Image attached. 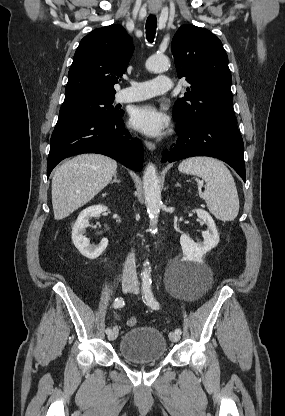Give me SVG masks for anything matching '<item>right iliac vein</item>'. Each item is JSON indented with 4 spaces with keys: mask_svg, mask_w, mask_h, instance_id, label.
I'll return each mask as SVG.
<instances>
[{
    "mask_svg": "<svg viewBox=\"0 0 285 416\" xmlns=\"http://www.w3.org/2000/svg\"><path fill=\"white\" fill-rule=\"evenodd\" d=\"M135 282L133 281V279H123L122 280V290L124 292L129 291L130 287L134 284ZM118 336V328L115 326L113 328V330L110 332V334L108 335V339L113 341L117 338Z\"/></svg>",
    "mask_w": 285,
    "mask_h": 416,
    "instance_id": "right-iliac-vein-1",
    "label": "right iliac vein"
}]
</instances>
